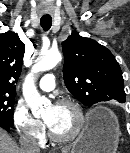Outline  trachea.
Here are the masks:
<instances>
[{"label": "trachea", "mask_w": 130, "mask_h": 153, "mask_svg": "<svg viewBox=\"0 0 130 153\" xmlns=\"http://www.w3.org/2000/svg\"><path fill=\"white\" fill-rule=\"evenodd\" d=\"M40 24H41V27L44 29V31H48L51 28V25H52L51 16L41 17Z\"/></svg>", "instance_id": "1"}]
</instances>
